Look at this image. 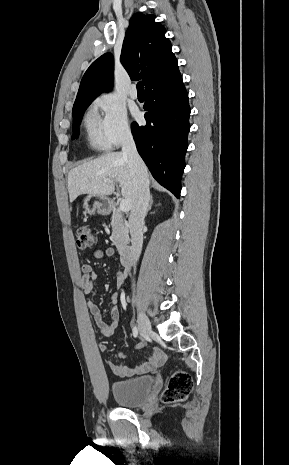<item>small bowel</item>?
<instances>
[{
	"instance_id": "obj_1",
	"label": "small bowel",
	"mask_w": 289,
	"mask_h": 465,
	"mask_svg": "<svg viewBox=\"0 0 289 465\" xmlns=\"http://www.w3.org/2000/svg\"><path fill=\"white\" fill-rule=\"evenodd\" d=\"M94 257L97 259L108 258L113 260L115 257V252L112 248H108L106 250L96 249L94 251ZM82 276L80 278L79 284L83 291L86 294H90L94 290L95 282L98 278L97 273L93 270L90 264H83L81 267ZM128 277V271H118L117 272V289L118 291L114 293L111 298V308L109 312V319L106 321L103 319L102 313L100 311L99 306L93 302L88 301L87 307L89 312L93 316L99 332L103 336H110L119 322V309H118V298L120 292L125 284V281ZM99 350L102 353L107 351L106 344H100ZM121 358H125V355L119 353ZM165 360V354L160 349H154L150 356L147 358L145 362L140 365L130 366V365H119L115 364L112 361H108V366L112 370V372L120 377H130L134 375L145 374L148 372H152L158 367H160Z\"/></svg>"
}]
</instances>
